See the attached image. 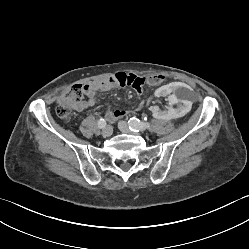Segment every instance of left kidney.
I'll list each match as a JSON object with an SVG mask.
<instances>
[{
    "label": "left kidney",
    "instance_id": "5707ae66",
    "mask_svg": "<svg viewBox=\"0 0 249 249\" xmlns=\"http://www.w3.org/2000/svg\"><path fill=\"white\" fill-rule=\"evenodd\" d=\"M195 100L194 90L176 80L161 86L156 93L149 96L142 109L146 115L172 122L184 118Z\"/></svg>",
    "mask_w": 249,
    "mask_h": 249
}]
</instances>
